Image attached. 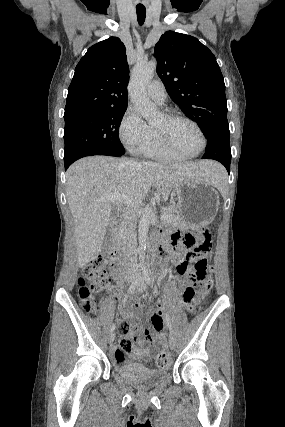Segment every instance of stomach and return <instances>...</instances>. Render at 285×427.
I'll list each match as a JSON object with an SVG mask.
<instances>
[{"instance_id": "1", "label": "stomach", "mask_w": 285, "mask_h": 427, "mask_svg": "<svg viewBox=\"0 0 285 427\" xmlns=\"http://www.w3.org/2000/svg\"><path fill=\"white\" fill-rule=\"evenodd\" d=\"M179 217L190 227L208 225L219 208V196L213 185L199 179H185L174 188Z\"/></svg>"}]
</instances>
